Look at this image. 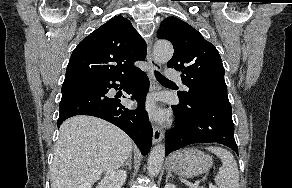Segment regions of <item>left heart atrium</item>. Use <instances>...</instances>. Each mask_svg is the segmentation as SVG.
Returning a JSON list of instances; mask_svg holds the SVG:
<instances>
[{
  "mask_svg": "<svg viewBox=\"0 0 292 188\" xmlns=\"http://www.w3.org/2000/svg\"><path fill=\"white\" fill-rule=\"evenodd\" d=\"M148 108L150 110V113H151L152 117H154L156 119L162 118L163 113L155 108L153 100H151L149 102Z\"/></svg>",
  "mask_w": 292,
  "mask_h": 188,
  "instance_id": "1",
  "label": "left heart atrium"
}]
</instances>
